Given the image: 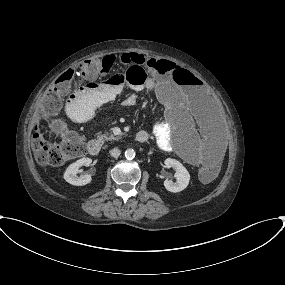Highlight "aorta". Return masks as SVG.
Returning <instances> with one entry per match:
<instances>
[{
  "label": "aorta",
  "instance_id": "aorta-1",
  "mask_svg": "<svg viewBox=\"0 0 285 285\" xmlns=\"http://www.w3.org/2000/svg\"><path fill=\"white\" fill-rule=\"evenodd\" d=\"M125 157H126V159H128V160L133 159V158L135 157V151H134L133 149H127V150L125 151Z\"/></svg>",
  "mask_w": 285,
  "mask_h": 285
}]
</instances>
